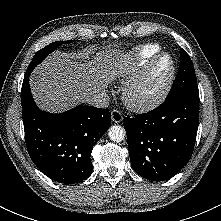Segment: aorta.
Here are the masks:
<instances>
[{
    "label": "aorta",
    "mask_w": 221,
    "mask_h": 221,
    "mask_svg": "<svg viewBox=\"0 0 221 221\" xmlns=\"http://www.w3.org/2000/svg\"><path fill=\"white\" fill-rule=\"evenodd\" d=\"M109 139L113 142H122L126 137L125 129L120 125H113L108 130Z\"/></svg>",
    "instance_id": "obj_1"
}]
</instances>
